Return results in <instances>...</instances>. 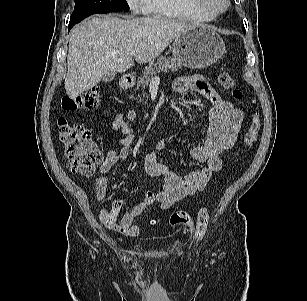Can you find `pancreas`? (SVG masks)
Wrapping results in <instances>:
<instances>
[{
	"label": "pancreas",
	"mask_w": 307,
	"mask_h": 301,
	"mask_svg": "<svg viewBox=\"0 0 307 301\" xmlns=\"http://www.w3.org/2000/svg\"><path fill=\"white\" fill-rule=\"evenodd\" d=\"M178 69H181V65L178 64L174 58L160 56L156 62L151 61L148 66L145 67L142 75L137 79V87L146 88L151 79L158 72H168L169 70L178 71Z\"/></svg>",
	"instance_id": "pancreas-1"
}]
</instances>
